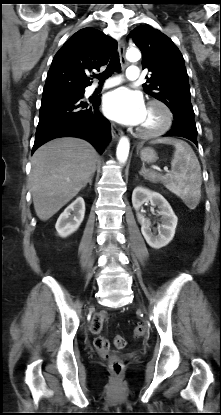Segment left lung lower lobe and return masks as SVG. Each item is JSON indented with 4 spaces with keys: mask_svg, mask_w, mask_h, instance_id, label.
<instances>
[{
    "mask_svg": "<svg viewBox=\"0 0 221 415\" xmlns=\"http://www.w3.org/2000/svg\"><path fill=\"white\" fill-rule=\"evenodd\" d=\"M164 136H179L192 141L196 146L197 128L194 121V112L181 111L174 114V122L172 128Z\"/></svg>",
    "mask_w": 221,
    "mask_h": 415,
    "instance_id": "obj_1",
    "label": "left lung lower lobe"
}]
</instances>
